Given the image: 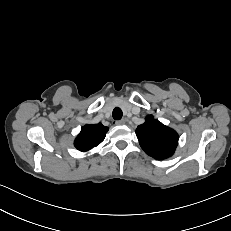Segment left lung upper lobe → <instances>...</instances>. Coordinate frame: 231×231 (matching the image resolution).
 Instances as JSON below:
<instances>
[{"label":"left lung upper lobe","mask_w":231,"mask_h":231,"mask_svg":"<svg viewBox=\"0 0 231 231\" xmlns=\"http://www.w3.org/2000/svg\"><path fill=\"white\" fill-rule=\"evenodd\" d=\"M136 135L142 149L158 160L172 156L179 139L176 131L153 119L152 115L137 127Z\"/></svg>","instance_id":"1"}]
</instances>
